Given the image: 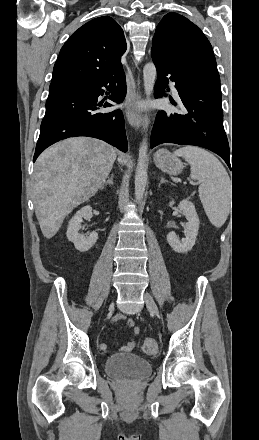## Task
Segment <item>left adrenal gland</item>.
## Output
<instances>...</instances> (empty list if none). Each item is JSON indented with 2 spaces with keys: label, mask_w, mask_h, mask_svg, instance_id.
<instances>
[{
  "label": "left adrenal gland",
  "mask_w": 259,
  "mask_h": 440,
  "mask_svg": "<svg viewBox=\"0 0 259 440\" xmlns=\"http://www.w3.org/2000/svg\"><path fill=\"white\" fill-rule=\"evenodd\" d=\"M166 182H168V181L165 180V178L162 176L161 179H160V182H159V186H160L162 183H166Z\"/></svg>",
  "instance_id": "left-adrenal-gland-1"
}]
</instances>
